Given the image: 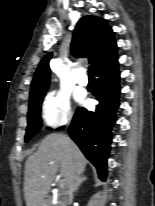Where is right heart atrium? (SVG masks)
Instances as JSON below:
<instances>
[{"label":"right heart atrium","instance_id":"right-heart-atrium-1","mask_svg":"<svg viewBox=\"0 0 155 206\" xmlns=\"http://www.w3.org/2000/svg\"><path fill=\"white\" fill-rule=\"evenodd\" d=\"M41 117L48 127H58L72 118L69 95L63 90L50 91L44 98Z\"/></svg>","mask_w":155,"mask_h":206}]
</instances>
